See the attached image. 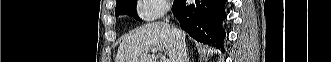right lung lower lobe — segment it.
Returning <instances> with one entry per match:
<instances>
[{"label":"right lung lower lobe","mask_w":331,"mask_h":62,"mask_svg":"<svg viewBox=\"0 0 331 62\" xmlns=\"http://www.w3.org/2000/svg\"><path fill=\"white\" fill-rule=\"evenodd\" d=\"M227 0H175L172 10L180 26L197 41L223 49L225 32L222 22L226 18L224 6Z\"/></svg>","instance_id":"98d812e1"}]
</instances>
